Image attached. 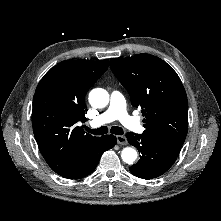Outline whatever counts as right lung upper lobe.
Listing matches in <instances>:
<instances>
[{"instance_id":"obj_1","label":"right lung upper lobe","mask_w":221,"mask_h":221,"mask_svg":"<svg viewBox=\"0 0 221 221\" xmlns=\"http://www.w3.org/2000/svg\"><path fill=\"white\" fill-rule=\"evenodd\" d=\"M108 60H65L51 68L33 97V132L47 164L57 174L71 169L100 137L83 131L85 95L107 70Z\"/></svg>"}]
</instances>
